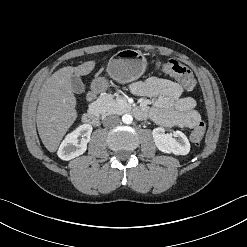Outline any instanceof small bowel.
<instances>
[{"instance_id": "obj_1", "label": "small bowel", "mask_w": 247, "mask_h": 247, "mask_svg": "<svg viewBox=\"0 0 247 247\" xmlns=\"http://www.w3.org/2000/svg\"><path fill=\"white\" fill-rule=\"evenodd\" d=\"M130 91L137 96L153 98L150 108H142L144 117L149 116L160 125L194 128L201 122V117L195 110V100L184 96L182 87L176 82L150 77L132 83Z\"/></svg>"}]
</instances>
